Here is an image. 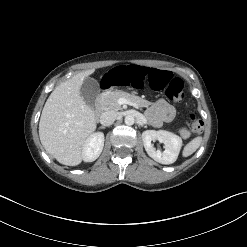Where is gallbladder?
<instances>
[{"label":"gallbladder","mask_w":247,"mask_h":247,"mask_svg":"<svg viewBox=\"0 0 247 247\" xmlns=\"http://www.w3.org/2000/svg\"><path fill=\"white\" fill-rule=\"evenodd\" d=\"M98 92V82L91 77H86L81 86L80 93L89 107H93Z\"/></svg>","instance_id":"gallbladder-1"}]
</instances>
